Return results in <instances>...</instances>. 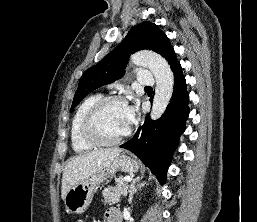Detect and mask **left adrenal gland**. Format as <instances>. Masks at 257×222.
Listing matches in <instances>:
<instances>
[{
    "instance_id": "1",
    "label": "left adrenal gland",
    "mask_w": 257,
    "mask_h": 222,
    "mask_svg": "<svg viewBox=\"0 0 257 222\" xmlns=\"http://www.w3.org/2000/svg\"><path fill=\"white\" fill-rule=\"evenodd\" d=\"M141 179H142V177H137L132 181V183L130 185V189H129V203H132L134 193H136L138 189H141V187H143L145 185V182L139 183V181ZM137 182H138V184H136Z\"/></svg>"
}]
</instances>
